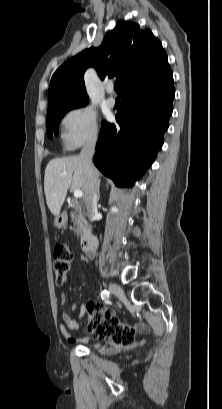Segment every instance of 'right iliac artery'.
<instances>
[{"label": "right iliac artery", "instance_id": "1", "mask_svg": "<svg viewBox=\"0 0 222 409\" xmlns=\"http://www.w3.org/2000/svg\"><path fill=\"white\" fill-rule=\"evenodd\" d=\"M109 297H110L109 291L103 290V291L101 292V298H102L103 300H107Z\"/></svg>", "mask_w": 222, "mask_h": 409}]
</instances>
